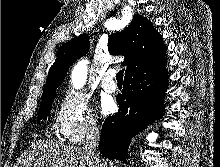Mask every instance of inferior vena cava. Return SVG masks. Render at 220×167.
<instances>
[{
    "instance_id": "602c4592",
    "label": "inferior vena cava",
    "mask_w": 220,
    "mask_h": 167,
    "mask_svg": "<svg viewBox=\"0 0 220 167\" xmlns=\"http://www.w3.org/2000/svg\"><path fill=\"white\" fill-rule=\"evenodd\" d=\"M99 140L100 133L96 123H90L86 129V141L83 148L99 167H103L104 165L97 152Z\"/></svg>"
}]
</instances>
